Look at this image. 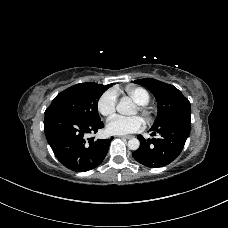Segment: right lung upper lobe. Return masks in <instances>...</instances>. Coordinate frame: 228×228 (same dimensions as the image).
Wrapping results in <instances>:
<instances>
[{
  "label": "right lung upper lobe",
  "instance_id": "obj_1",
  "mask_svg": "<svg viewBox=\"0 0 228 228\" xmlns=\"http://www.w3.org/2000/svg\"><path fill=\"white\" fill-rule=\"evenodd\" d=\"M107 86L110 87V86H112V84H108Z\"/></svg>",
  "mask_w": 228,
  "mask_h": 228
}]
</instances>
